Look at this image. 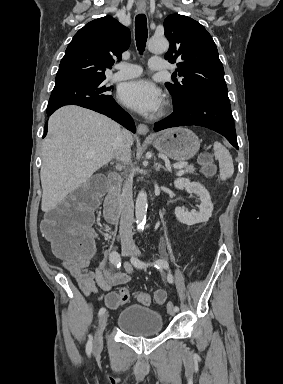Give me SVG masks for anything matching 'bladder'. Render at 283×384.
Masks as SVG:
<instances>
[{"instance_id":"obj_1","label":"bladder","mask_w":283,"mask_h":384,"mask_svg":"<svg viewBox=\"0 0 283 384\" xmlns=\"http://www.w3.org/2000/svg\"><path fill=\"white\" fill-rule=\"evenodd\" d=\"M116 327L132 337H152L162 333L161 311L142 305H127L116 318Z\"/></svg>"}]
</instances>
